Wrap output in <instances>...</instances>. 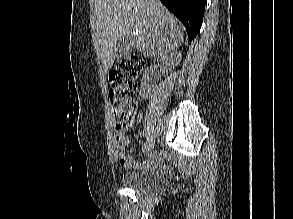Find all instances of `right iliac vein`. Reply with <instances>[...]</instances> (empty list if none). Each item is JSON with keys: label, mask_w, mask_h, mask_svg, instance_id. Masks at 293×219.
Wrapping results in <instances>:
<instances>
[{"label": "right iliac vein", "mask_w": 293, "mask_h": 219, "mask_svg": "<svg viewBox=\"0 0 293 219\" xmlns=\"http://www.w3.org/2000/svg\"><path fill=\"white\" fill-rule=\"evenodd\" d=\"M153 146H154V140L151 139V140H149V142L143 147V152H144V153L149 152V151L153 148Z\"/></svg>", "instance_id": "right-iliac-vein-1"}]
</instances>
